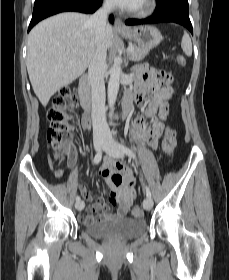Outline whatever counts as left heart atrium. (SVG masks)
<instances>
[{
    "instance_id": "left-heart-atrium-1",
    "label": "left heart atrium",
    "mask_w": 229,
    "mask_h": 280,
    "mask_svg": "<svg viewBox=\"0 0 229 280\" xmlns=\"http://www.w3.org/2000/svg\"><path fill=\"white\" fill-rule=\"evenodd\" d=\"M116 4L119 6L125 7V8H132L135 6L139 1L141 0H113Z\"/></svg>"
}]
</instances>
